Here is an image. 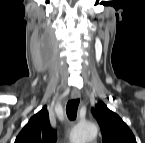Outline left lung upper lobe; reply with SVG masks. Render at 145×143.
Segmentation results:
<instances>
[{
    "instance_id": "1",
    "label": "left lung upper lobe",
    "mask_w": 145,
    "mask_h": 143,
    "mask_svg": "<svg viewBox=\"0 0 145 143\" xmlns=\"http://www.w3.org/2000/svg\"><path fill=\"white\" fill-rule=\"evenodd\" d=\"M92 113L100 125L102 143H136L126 123L103 102H99Z\"/></svg>"
}]
</instances>
